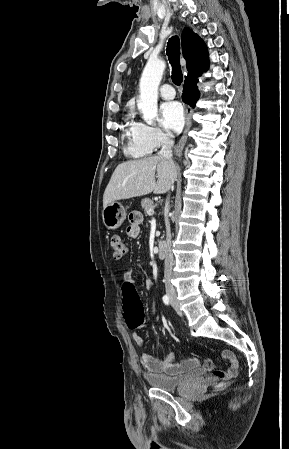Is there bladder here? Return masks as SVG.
I'll list each match as a JSON object with an SVG mask.
<instances>
[{"instance_id":"1","label":"bladder","mask_w":289,"mask_h":449,"mask_svg":"<svg viewBox=\"0 0 289 449\" xmlns=\"http://www.w3.org/2000/svg\"><path fill=\"white\" fill-rule=\"evenodd\" d=\"M205 371L201 369L193 370L183 375H150L147 380L149 384L155 388L173 392L184 386L197 382L204 378Z\"/></svg>"}]
</instances>
